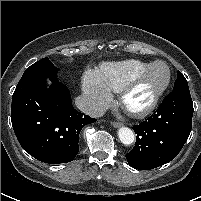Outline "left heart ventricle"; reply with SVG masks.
I'll return each instance as SVG.
<instances>
[{"label":"left heart ventricle","mask_w":201,"mask_h":201,"mask_svg":"<svg viewBox=\"0 0 201 201\" xmlns=\"http://www.w3.org/2000/svg\"><path fill=\"white\" fill-rule=\"evenodd\" d=\"M167 79V69L164 65H156L138 83L128 96L127 102L131 107H139L152 97L160 89Z\"/></svg>","instance_id":"obj_1"}]
</instances>
